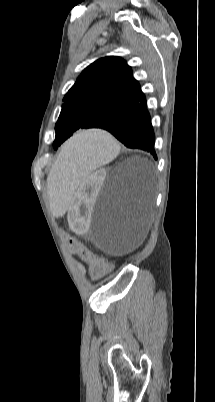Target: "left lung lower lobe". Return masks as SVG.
<instances>
[{
	"mask_svg": "<svg viewBox=\"0 0 215 402\" xmlns=\"http://www.w3.org/2000/svg\"><path fill=\"white\" fill-rule=\"evenodd\" d=\"M95 128L107 130L128 148L147 151L157 159L155 135L144 94L121 108Z\"/></svg>",
	"mask_w": 215,
	"mask_h": 402,
	"instance_id": "left-lung-lower-lobe-1",
	"label": "left lung lower lobe"
}]
</instances>
